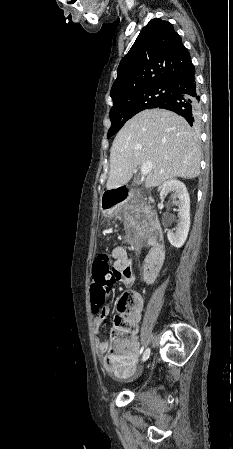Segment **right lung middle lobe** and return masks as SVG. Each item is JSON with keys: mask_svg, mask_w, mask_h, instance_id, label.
Instances as JSON below:
<instances>
[{"mask_svg": "<svg viewBox=\"0 0 233 449\" xmlns=\"http://www.w3.org/2000/svg\"><path fill=\"white\" fill-rule=\"evenodd\" d=\"M169 94L168 84H156L115 98L110 110L111 128L107 138L118 132L125 122L135 114L145 109L155 108Z\"/></svg>", "mask_w": 233, "mask_h": 449, "instance_id": "dd1d6c3e", "label": "right lung middle lobe"}]
</instances>
